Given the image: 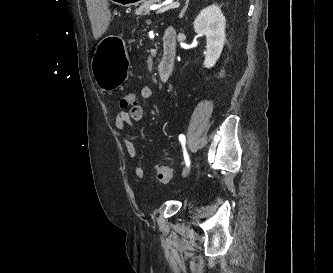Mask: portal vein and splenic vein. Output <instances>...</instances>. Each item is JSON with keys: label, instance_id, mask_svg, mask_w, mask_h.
Returning a JSON list of instances; mask_svg holds the SVG:
<instances>
[{"label": "portal vein and splenic vein", "instance_id": "obj_1", "mask_svg": "<svg viewBox=\"0 0 333 273\" xmlns=\"http://www.w3.org/2000/svg\"><path fill=\"white\" fill-rule=\"evenodd\" d=\"M179 3H171L169 5H157V6H154V7H151L152 10H157L156 13H163L167 10H170V9H174V8H178L179 7Z\"/></svg>", "mask_w": 333, "mask_h": 273}]
</instances>
